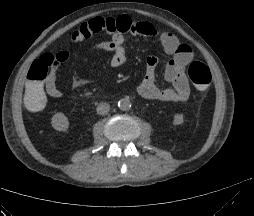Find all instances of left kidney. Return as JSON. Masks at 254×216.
I'll return each instance as SVG.
<instances>
[{"mask_svg": "<svg viewBox=\"0 0 254 216\" xmlns=\"http://www.w3.org/2000/svg\"><path fill=\"white\" fill-rule=\"evenodd\" d=\"M185 115L184 114H175L173 119V125H181L184 123Z\"/></svg>", "mask_w": 254, "mask_h": 216, "instance_id": "left-kidney-1", "label": "left kidney"}]
</instances>
